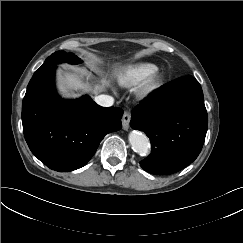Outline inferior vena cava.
Returning <instances> with one entry per match:
<instances>
[{
	"mask_svg": "<svg viewBox=\"0 0 243 243\" xmlns=\"http://www.w3.org/2000/svg\"><path fill=\"white\" fill-rule=\"evenodd\" d=\"M95 102L102 107H110L113 105L114 99L109 95H99L95 97Z\"/></svg>",
	"mask_w": 243,
	"mask_h": 243,
	"instance_id": "inferior-vena-cava-1",
	"label": "inferior vena cava"
}]
</instances>
